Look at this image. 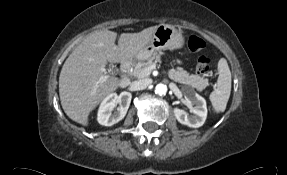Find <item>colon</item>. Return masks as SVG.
<instances>
[{
  "label": "colon",
  "mask_w": 287,
  "mask_h": 175,
  "mask_svg": "<svg viewBox=\"0 0 287 175\" xmlns=\"http://www.w3.org/2000/svg\"><path fill=\"white\" fill-rule=\"evenodd\" d=\"M206 47L205 41L196 35H192L188 39V48L192 52L203 51ZM210 70V59L207 56H201L198 59L196 71L199 75H207Z\"/></svg>",
  "instance_id": "colon-1"
}]
</instances>
